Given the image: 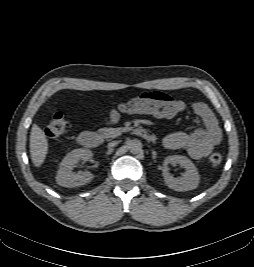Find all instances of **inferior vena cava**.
<instances>
[{
	"mask_svg": "<svg viewBox=\"0 0 254 267\" xmlns=\"http://www.w3.org/2000/svg\"><path fill=\"white\" fill-rule=\"evenodd\" d=\"M117 144V142L113 141L108 144V148H112Z\"/></svg>",
	"mask_w": 254,
	"mask_h": 267,
	"instance_id": "1",
	"label": "inferior vena cava"
}]
</instances>
